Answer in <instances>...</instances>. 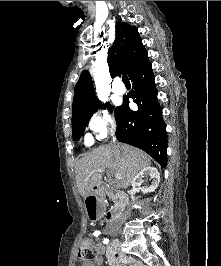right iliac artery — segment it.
<instances>
[{
	"mask_svg": "<svg viewBox=\"0 0 221 266\" xmlns=\"http://www.w3.org/2000/svg\"><path fill=\"white\" fill-rule=\"evenodd\" d=\"M100 234V232L98 231V232H96V234H95V236H98ZM108 242H109V239H104V241H103V243L104 244H108Z\"/></svg>",
	"mask_w": 221,
	"mask_h": 266,
	"instance_id": "right-iliac-artery-1",
	"label": "right iliac artery"
}]
</instances>
